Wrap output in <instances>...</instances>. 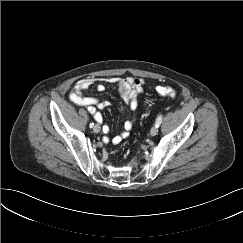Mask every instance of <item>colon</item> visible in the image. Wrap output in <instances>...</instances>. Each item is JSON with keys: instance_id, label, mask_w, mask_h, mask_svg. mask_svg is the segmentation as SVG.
Returning a JSON list of instances; mask_svg holds the SVG:
<instances>
[{"instance_id": "obj_1", "label": "colon", "mask_w": 243, "mask_h": 243, "mask_svg": "<svg viewBox=\"0 0 243 243\" xmlns=\"http://www.w3.org/2000/svg\"><path fill=\"white\" fill-rule=\"evenodd\" d=\"M156 91L162 95V96H166V97H174L175 96V90L170 87V86H158L156 88Z\"/></svg>"}]
</instances>
